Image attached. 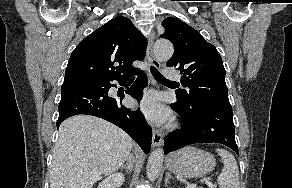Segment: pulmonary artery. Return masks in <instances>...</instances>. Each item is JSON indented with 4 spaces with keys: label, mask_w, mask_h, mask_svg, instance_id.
<instances>
[{
    "label": "pulmonary artery",
    "mask_w": 292,
    "mask_h": 188,
    "mask_svg": "<svg viewBox=\"0 0 292 188\" xmlns=\"http://www.w3.org/2000/svg\"><path fill=\"white\" fill-rule=\"evenodd\" d=\"M164 76H165V78L172 79V80H177L180 78L179 72L171 67L165 68Z\"/></svg>",
    "instance_id": "1"
}]
</instances>
